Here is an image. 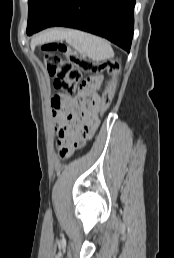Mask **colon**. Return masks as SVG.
I'll return each instance as SVG.
<instances>
[{
	"label": "colon",
	"instance_id": "5ec220e1",
	"mask_svg": "<svg viewBox=\"0 0 174 258\" xmlns=\"http://www.w3.org/2000/svg\"><path fill=\"white\" fill-rule=\"evenodd\" d=\"M42 50L44 64L49 75L54 78L55 88L63 90L69 96L76 94L77 85L84 73L106 71L110 81L101 98L100 112L103 114L110 108L120 68L117 60L94 62L77 54L70 46L58 43L47 44Z\"/></svg>",
	"mask_w": 174,
	"mask_h": 258
}]
</instances>
